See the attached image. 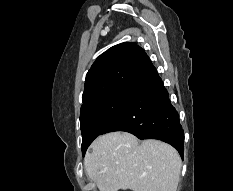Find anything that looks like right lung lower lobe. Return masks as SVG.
<instances>
[{
  "label": "right lung lower lobe",
  "mask_w": 233,
  "mask_h": 191,
  "mask_svg": "<svg viewBox=\"0 0 233 191\" xmlns=\"http://www.w3.org/2000/svg\"><path fill=\"white\" fill-rule=\"evenodd\" d=\"M128 92L126 105L100 135L126 131L139 139H158L172 145L183 158L184 132L179 116L151 61Z\"/></svg>",
  "instance_id": "98d812e1"
}]
</instances>
